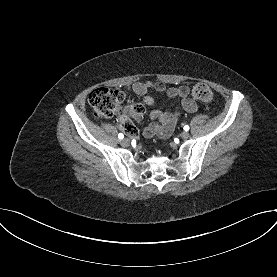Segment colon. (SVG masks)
I'll use <instances>...</instances> for the list:
<instances>
[{
	"label": "colon",
	"instance_id": "1",
	"mask_svg": "<svg viewBox=\"0 0 277 277\" xmlns=\"http://www.w3.org/2000/svg\"><path fill=\"white\" fill-rule=\"evenodd\" d=\"M192 94L196 99L201 101H209L212 98L211 89L203 83L195 85L192 89ZM123 100V93L105 87L93 90L88 96L89 105L94 115L98 118L112 117L121 107ZM126 109L134 115L142 116L144 114V107L141 104L135 103ZM122 124L128 134L135 133L136 128L129 116L122 118Z\"/></svg>",
	"mask_w": 277,
	"mask_h": 277
}]
</instances>
